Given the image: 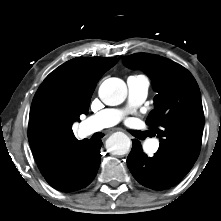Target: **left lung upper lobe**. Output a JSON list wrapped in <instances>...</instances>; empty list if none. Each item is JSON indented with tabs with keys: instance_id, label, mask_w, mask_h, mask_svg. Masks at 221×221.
<instances>
[{
	"instance_id": "5c2ea615",
	"label": "left lung upper lobe",
	"mask_w": 221,
	"mask_h": 221,
	"mask_svg": "<svg viewBox=\"0 0 221 221\" xmlns=\"http://www.w3.org/2000/svg\"><path fill=\"white\" fill-rule=\"evenodd\" d=\"M124 63L151 77L157 95L146 123L160 138L157 153L184 177L198 158L204 127L196 80L183 66L154 54H132Z\"/></svg>"
}]
</instances>
